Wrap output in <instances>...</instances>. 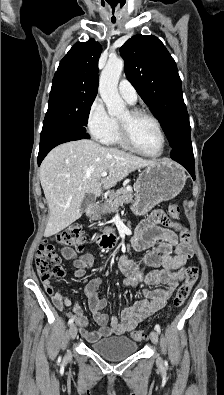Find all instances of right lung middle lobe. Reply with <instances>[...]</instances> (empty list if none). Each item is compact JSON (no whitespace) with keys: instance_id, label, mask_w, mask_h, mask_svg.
I'll return each mask as SVG.
<instances>
[{"instance_id":"dd1d6c3e","label":"right lung middle lobe","mask_w":224,"mask_h":395,"mask_svg":"<svg viewBox=\"0 0 224 395\" xmlns=\"http://www.w3.org/2000/svg\"><path fill=\"white\" fill-rule=\"evenodd\" d=\"M97 90L62 81H53L45 117H57L86 130L90 108Z\"/></svg>"}]
</instances>
